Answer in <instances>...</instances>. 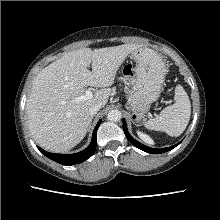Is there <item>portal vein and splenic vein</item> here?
I'll list each match as a JSON object with an SVG mask.
<instances>
[{
  "mask_svg": "<svg viewBox=\"0 0 220 220\" xmlns=\"http://www.w3.org/2000/svg\"><path fill=\"white\" fill-rule=\"evenodd\" d=\"M93 96L92 91L90 89L86 90L85 95L80 96L79 98H77V100L81 101V100H85V99H89Z\"/></svg>",
  "mask_w": 220,
  "mask_h": 220,
  "instance_id": "18ae733b",
  "label": "portal vein and splenic vein"
}]
</instances>
